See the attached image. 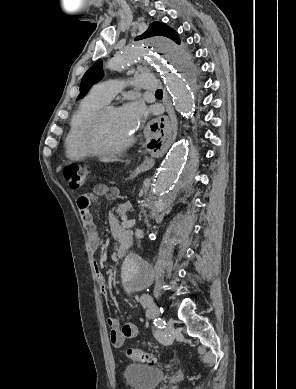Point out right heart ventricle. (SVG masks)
I'll use <instances>...</instances> for the list:
<instances>
[{
    "label": "right heart ventricle",
    "instance_id": "1",
    "mask_svg": "<svg viewBox=\"0 0 296 389\" xmlns=\"http://www.w3.org/2000/svg\"><path fill=\"white\" fill-rule=\"evenodd\" d=\"M106 104V101L93 92L82 100L71 120L70 128L65 139V152L69 159L83 160L88 157L89 154L84 144L87 127L95 113Z\"/></svg>",
    "mask_w": 296,
    "mask_h": 389
}]
</instances>
